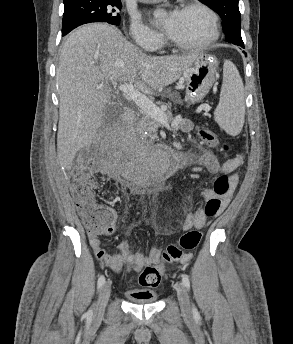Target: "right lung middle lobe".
<instances>
[{"label": "right lung middle lobe", "mask_w": 293, "mask_h": 344, "mask_svg": "<svg viewBox=\"0 0 293 344\" xmlns=\"http://www.w3.org/2000/svg\"><path fill=\"white\" fill-rule=\"evenodd\" d=\"M64 5L63 36L86 23L106 22L117 26L120 24V15L116 13V8L122 7L120 0H77Z\"/></svg>", "instance_id": "dd1d6c3e"}]
</instances>
